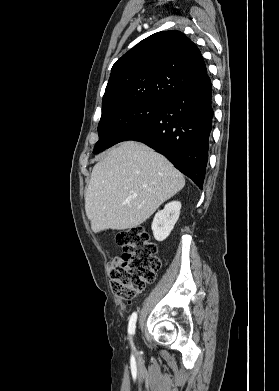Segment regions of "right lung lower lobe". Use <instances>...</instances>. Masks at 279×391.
Listing matches in <instances>:
<instances>
[{
  "label": "right lung lower lobe",
  "instance_id": "obj_1",
  "mask_svg": "<svg viewBox=\"0 0 279 391\" xmlns=\"http://www.w3.org/2000/svg\"><path fill=\"white\" fill-rule=\"evenodd\" d=\"M212 118L211 80L206 75L164 102L154 119L132 131L123 141L147 144L202 188Z\"/></svg>",
  "mask_w": 279,
  "mask_h": 391
}]
</instances>
